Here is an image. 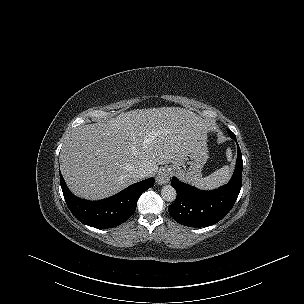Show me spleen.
<instances>
[{
  "label": "spleen",
  "mask_w": 304,
  "mask_h": 304,
  "mask_svg": "<svg viewBox=\"0 0 304 304\" xmlns=\"http://www.w3.org/2000/svg\"><path fill=\"white\" fill-rule=\"evenodd\" d=\"M227 157L229 160L232 159L231 151L227 152ZM231 176V169L229 166H224L209 176L204 178H200L198 182L195 184L201 189H214L217 188L225 183H227Z\"/></svg>",
  "instance_id": "spleen-1"
}]
</instances>
